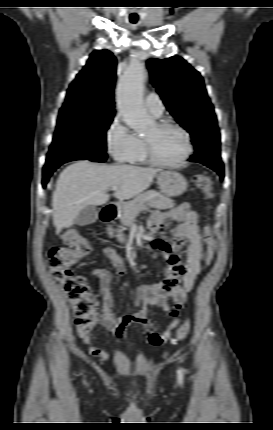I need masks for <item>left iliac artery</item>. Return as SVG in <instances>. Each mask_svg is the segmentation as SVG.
Returning a JSON list of instances; mask_svg holds the SVG:
<instances>
[{
    "label": "left iliac artery",
    "mask_w": 273,
    "mask_h": 430,
    "mask_svg": "<svg viewBox=\"0 0 273 430\" xmlns=\"http://www.w3.org/2000/svg\"><path fill=\"white\" fill-rule=\"evenodd\" d=\"M184 374H185V369H183V368H181L180 370H179V381L180 382H182V380H183V377H184Z\"/></svg>",
    "instance_id": "obj_1"
}]
</instances>
